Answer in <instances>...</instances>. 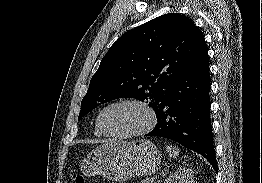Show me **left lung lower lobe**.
<instances>
[{"instance_id":"obj_1","label":"left lung lower lobe","mask_w":262,"mask_h":183,"mask_svg":"<svg viewBox=\"0 0 262 183\" xmlns=\"http://www.w3.org/2000/svg\"><path fill=\"white\" fill-rule=\"evenodd\" d=\"M208 48L176 78L159 106L157 125L146 136L174 140L204 156L218 171L210 119Z\"/></svg>"}]
</instances>
